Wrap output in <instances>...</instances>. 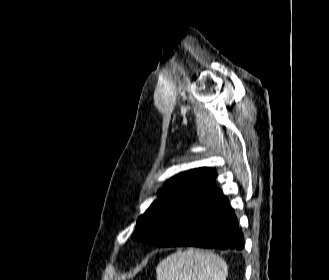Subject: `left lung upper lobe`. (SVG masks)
Segmentation results:
<instances>
[{"instance_id": "5c2ea615", "label": "left lung upper lobe", "mask_w": 329, "mask_h": 280, "mask_svg": "<svg viewBox=\"0 0 329 280\" xmlns=\"http://www.w3.org/2000/svg\"><path fill=\"white\" fill-rule=\"evenodd\" d=\"M216 177L208 168H198L179 173L159 190L160 196L137 220L133 240L144 241L156 246H165L169 236L160 234L163 226L172 222L173 214L188 200L202 195Z\"/></svg>"}]
</instances>
